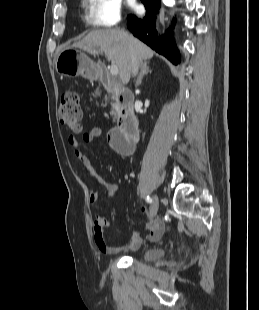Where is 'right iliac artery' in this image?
<instances>
[{"label":"right iliac artery","instance_id":"right-iliac-artery-1","mask_svg":"<svg viewBox=\"0 0 259 310\" xmlns=\"http://www.w3.org/2000/svg\"><path fill=\"white\" fill-rule=\"evenodd\" d=\"M146 201H147L148 203H151V202H152V198H150L149 196H147V197H146Z\"/></svg>","mask_w":259,"mask_h":310}]
</instances>
